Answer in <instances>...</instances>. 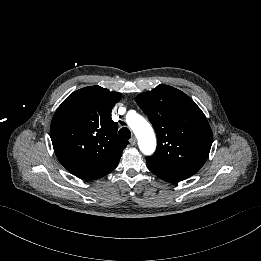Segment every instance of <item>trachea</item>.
<instances>
[{"mask_svg": "<svg viewBox=\"0 0 261 261\" xmlns=\"http://www.w3.org/2000/svg\"><path fill=\"white\" fill-rule=\"evenodd\" d=\"M119 135L124 139H130L131 138V132L127 127H122L119 130Z\"/></svg>", "mask_w": 261, "mask_h": 261, "instance_id": "3493384b", "label": "trachea"}]
</instances>
